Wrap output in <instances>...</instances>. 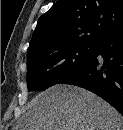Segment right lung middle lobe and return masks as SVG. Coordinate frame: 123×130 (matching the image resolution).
Segmentation results:
<instances>
[{"mask_svg":"<svg viewBox=\"0 0 123 130\" xmlns=\"http://www.w3.org/2000/svg\"><path fill=\"white\" fill-rule=\"evenodd\" d=\"M94 51L93 44H79L27 61L28 91H44L75 71Z\"/></svg>","mask_w":123,"mask_h":130,"instance_id":"obj_1","label":"right lung middle lobe"}]
</instances>
